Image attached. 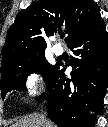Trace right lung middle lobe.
<instances>
[{"mask_svg":"<svg viewBox=\"0 0 108 127\" xmlns=\"http://www.w3.org/2000/svg\"><path fill=\"white\" fill-rule=\"evenodd\" d=\"M55 68L56 65L47 62L44 53L3 64L1 66L2 99L11 90H25V81L29 74L41 73L44 80L48 81Z\"/></svg>","mask_w":108,"mask_h":127,"instance_id":"right-lung-middle-lobe-1","label":"right lung middle lobe"}]
</instances>
